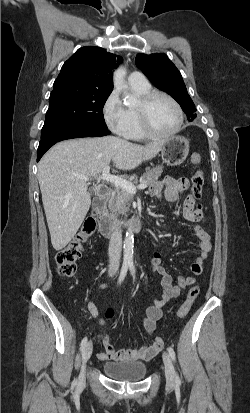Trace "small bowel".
<instances>
[{
  "label": "small bowel",
  "instance_id": "small-bowel-1",
  "mask_svg": "<svg viewBox=\"0 0 250 413\" xmlns=\"http://www.w3.org/2000/svg\"><path fill=\"white\" fill-rule=\"evenodd\" d=\"M189 187L187 178H174L167 176L162 181L156 182L152 185L150 193L153 197L164 196L168 201H176ZM183 217L194 223V233L198 239L199 253L196 255L194 261L190 265V270L193 276L179 275L176 282L172 275H170L162 265L161 252L155 251L150 261L151 270L160 276L161 294L154 301V304L147 308L145 316L142 319V326L148 334H152L156 328V323L162 317L163 306L171 299L178 297L187 287L194 284L195 276L201 274L203 270V262L208 257L212 249L211 236L208 230L201 228L196 223L204 221L205 216L200 205H197L195 200L189 196L186 198L183 208ZM102 285L101 288H104ZM88 310L93 317L97 318L99 313L93 302L88 303ZM99 329L97 336L100 339L104 352L98 354L100 360L111 361H140L149 360L159 353L152 344L144 345L138 349L117 350L111 342V339L100 331V328L106 324L103 319L98 320Z\"/></svg>",
  "mask_w": 250,
  "mask_h": 413
}]
</instances>
